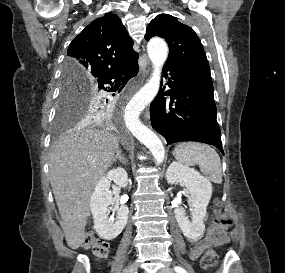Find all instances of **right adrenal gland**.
Returning <instances> with one entry per match:
<instances>
[{
	"label": "right adrenal gland",
	"mask_w": 285,
	"mask_h": 273,
	"mask_svg": "<svg viewBox=\"0 0 285 273\" xmlns=\"http://www.w3.org/2000/svg\"><path fill=\"white\" fill-rule=\"evenodd\" d=\"M117 160L121 161L122 163L126 164V159L124 158V156L121 153V150L118 149L116 152V155L113 158V162H116Z\"/></svg>",
	"instance_id": "1"
}]
</instances>
